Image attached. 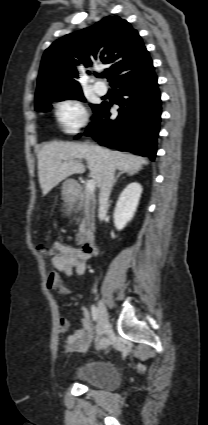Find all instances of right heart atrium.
Instances as JSON below:
<instances>
[{"label": "right heart atrium", "mask_w": 208, "mask_h": 425, "mask_svg": "<svg viewBox=\"0 0 208 425\" xmlns=\"http://www.w3.org/2000/svg\"><path fill=\"white\" fill-rule=\"evenodd\" d=\"M56 116L61 127L67 132L78 131L88 121V115L82 104L72 99L64 100L58 104Z\"/></svg>", "instance_id": "right-heart-atrium-1"}]
</instances>
